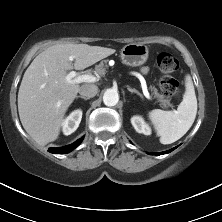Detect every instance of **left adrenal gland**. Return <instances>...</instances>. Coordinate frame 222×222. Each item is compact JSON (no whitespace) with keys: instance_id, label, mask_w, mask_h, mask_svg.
Segmentation results:
<instances>
[{"instance_id":"1","label":"left adrenal gland","mask_w":222,"mask_h":222,"mask_svg":"<svg viewBox=\"0 0 222 222\" xmlns=\"http://www.w3.org/2000/svg\"><path fill=\"white\" fill-rule=\"evenodd\" d=\"M128 91H130L131 93H136L137 95H139L141 98H143L142 94L140 92H138L136 89H132L129 86L127 87Z\"/></svg>"}]
</instances>
